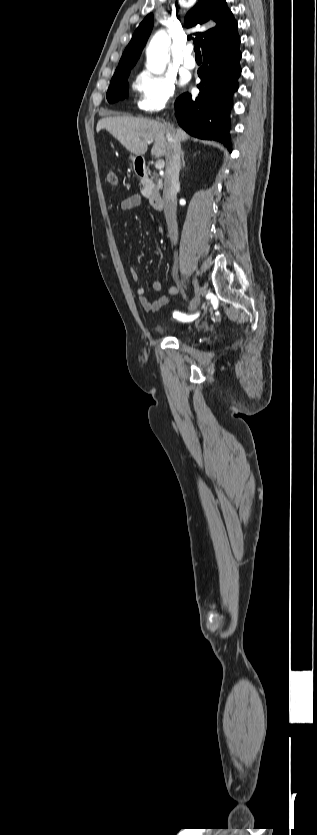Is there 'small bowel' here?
Here are the masks:
<instances>
[{
  "label": "small bowel",
  "instance_id": "obj_1",
  "mask_svg": "<svg viewBox=\"0 0 317 835\" xmlns=\"http://www.w3.org/2000/svg\"><path fill=\"white\" fill-rule=\"evenodd\" d=\"M141 202H142L141 196L132 195V196L122 200L120 206H121V209L123 211H130V210H133L134 208H136ZM129 271H130V276H131L132 280L137 282L139 280L138 271L134 267H131ZM151 288L154 291H160L161 288H162V284H161L160 281L154 280L151 283ZM178 291L179 290H178L177 286L170 285V286H168V288L166 290V294L161 296L160 298L154 300V301H151L146 296V290H145L144 287H138L137 290H136V294L139 298L140 304L142 305V307L146 311L155 312V311H158L162 306L167 304L168 301H169V297L173 296V295H176L178 293ZM191 306H194V309H190L192 311L197 308V306H195V303L193 302V300L190 302L189 308Z\"/></svg>",
  "mask_w": 317,
  "mask_h": 835
}]
</instances>
